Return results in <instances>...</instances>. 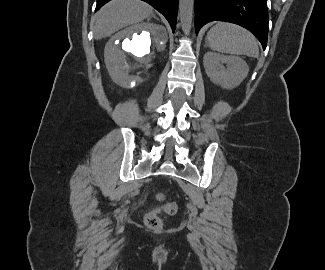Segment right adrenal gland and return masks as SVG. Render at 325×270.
Instances as JSON below:
<instances>
[{"label": "right adrenal gland", "mask_w": 325, "mask_h": 270, "mask_svg": "<svg viewBox=\"0 0 325 270\" xmlns=\"http://www.w3.org/2000/svg\"><path fill=\"white\" fill-rule=\"evenodd\" d=\"M152 17H154L155 19H157L158 20V18L154 15V14H152Z\"/></svg>", "instance_id": "1"}]
</instances>
